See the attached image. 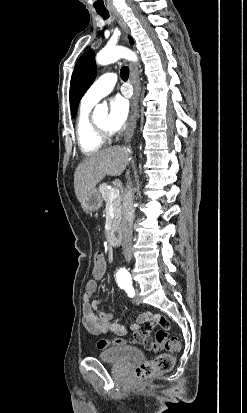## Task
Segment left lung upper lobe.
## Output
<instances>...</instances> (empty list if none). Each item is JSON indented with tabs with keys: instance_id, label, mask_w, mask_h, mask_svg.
Wrapping results in <instances>:
<instances>
[{
	"instance_id": "5c2ea615",
	"label": "left lung upper lobe",
	"mask_w": 247,
	"mask_h": 413,
	"mask_svg": "<svg viewBox=\"0 0 247 413\" xmlns=\"http://www.w3.org/2000/svg\"><path fill=\"white\" fill-rule=\"evenodd\" d=\"M130 42L133 44L131 38ZM96 70L95 54L92 51L82 55L76 63L70 84V107L73 118L82 96L95 80Z\"/></svg>"
}]
</instances>
